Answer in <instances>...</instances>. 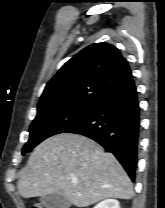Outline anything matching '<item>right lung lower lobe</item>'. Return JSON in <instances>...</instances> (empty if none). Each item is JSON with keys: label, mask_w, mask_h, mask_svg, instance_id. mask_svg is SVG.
Masks as SVG:
<instances>
[{"label": "right lung lower lobe", "mask_w": 165, "mask_h": 208, "mask_svg": "<svg viewBox=\"0 0 165 208\" xmlns=\"http://www.w3.org/2000/svg\"><path fill=\"white\" fill-rule=\"evenodd\" d=\"M140 107L134 81L99 100L92 111L67 133L87 136L115 155L135 180Z\"/></svg>", "instance_id": "obj_1"}]
</instances>
